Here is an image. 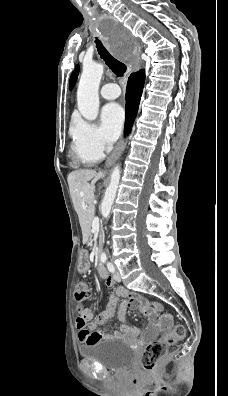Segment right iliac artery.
<instances>
[{
  "label": "right iliac artery",
  "instance_id": "right-iliac-artery-1",
  "mask_svg": "<svg viewBox=\"0 0 228 396\" xmlns=\"http://www.w3.org/2000/svg\"><path fill=\"white\" fill-rule=\"evenodd\" d=\"M101 261H102L103 263H106V261H107V256H106L105 253H102V255H101Z\"/></svg>",
  "mask_w": 228,
  "mask_h": 396
}]
</instances>
